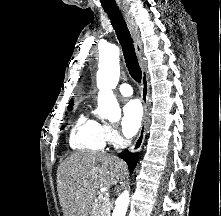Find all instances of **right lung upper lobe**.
<instances>
[{"label": "right lung upper lobe", "mask_w": 221, "mask_h": 216, "mask_svg": "<svg viewBox=\"0 0 221 216\" xmlns=\"http://www.w3.org/2000/svg\"><path fill=\"white\" fill-rule=\"evenodd\" d=\"M72 106H73V101L71 100V101L69 102L68 108L71 109Z\"/></svg>", "instance_id": "obj_1"}]
</instances>
